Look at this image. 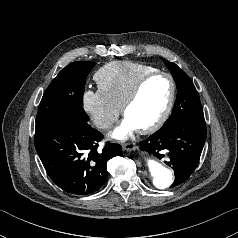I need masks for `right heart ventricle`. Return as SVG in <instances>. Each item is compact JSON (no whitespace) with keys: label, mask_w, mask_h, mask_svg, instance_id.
<instances>
[{"label":"right heart ventricle","mask_w":238,"mask_h":238,"mask_svg":"<svg viewBox=\"0 0 238 238\" xmlns=\"http://www.w3.org/2000/svg\"><path fill=\"white\" fill-rule=\"evenodd\" d=\"M154 71H157L154 67L142 63L112 61L97 70L94 80L105 97L121 108L137 81Z\"/></svg>","instance_id":"obj_1"}]
</instances>
